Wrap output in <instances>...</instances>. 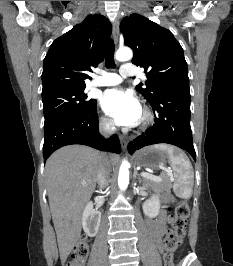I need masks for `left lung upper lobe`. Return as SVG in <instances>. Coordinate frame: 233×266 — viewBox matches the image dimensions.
<instances>
[{
  "label": "left lung upper lobe",
  "instance_id": "obj_1",
  "mask_svg": "<svg viewBox=\"0 0 233 266\" xmlns=\"http://www.w3.org/2000/svg\"><path fill=\"white\" fill-rule=\"evenodd\" d=\"M120 29L134 51L132 63L145 69V88L140 83L136 89L150 104L166 93L189 90L183 49L169 30L138 14L125 17Z\"/></svg>",
  "mask_w": 233,
  "mask_h": 266
}]
</instances>
